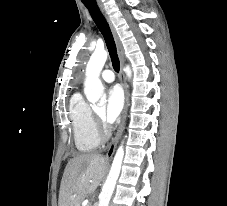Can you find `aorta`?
I'll use <instances>...</instances> for the list:
<instances>
[{
    "label": "aorta",
    "mask_w": 227,
    "mask_h": 206,
    "mask_svg": "<svg viewBox=\"0 0 227 206\" xmlns=\"http://www.w3.org/2000/svg\"><path fill=\"white\" fill-rule=\"evenodd\" d=\"M108 53L105 50H95L86 67V78L84 82V93L91 103L100 102L103 104L105 101V92L102 82L100 80V73L104 67V64L107 60ZM128 78H131V69L129 66H126L124 69ZM124 157V149L123 145H121L114 157L112 162V166L108 177L104 183L102 188V192L99 196V204L98 206H108L113 191L115 189V185L117 183L121 165Z\"/></svg>",
    "instance_id": "1"
}]
</instances>
